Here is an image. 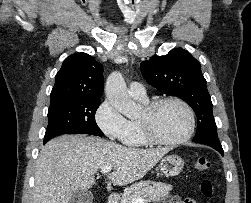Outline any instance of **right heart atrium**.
Returning a JSON list of instances; mask_svg holds the SVG:
<instances>
[{
  "label": "right heart atrium",
  "mask_w": 251,
  "mask_h": 203,
  "mask_svg": "<svg viewBox=\"0 0 251 203\" xmlns=\"http://www.w3.org/2000/svg\"><path fill=\"white\" fill-rule=\"evenodd\" d=\"M95 122L106 137L122 140L128 129V120L123 117L112 103L104 100L95 112Z\"/></svg>",
  "instance_id": "obj_1"
}]
</instances>
